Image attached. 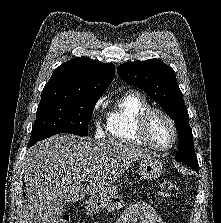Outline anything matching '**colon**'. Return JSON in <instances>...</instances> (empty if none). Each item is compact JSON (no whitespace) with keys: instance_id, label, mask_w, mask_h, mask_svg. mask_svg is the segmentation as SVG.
<instances>
[{"instance_id":"5ec220e1","label":"colon","mask_w":221,"mask_h":223,"mask_svg":"<svg viewBox=\"0 0 221 223\" xmlns=\"http://www.w3.org/2000/svg\"><path fill=\"white\" fill-rule=\"evenodd\" d=\"M158 193L164 199H171L178 195V187L174 182L164 179L159 185ZM55 223H69V218L67 216H61Z\"/></svg>"}]
</instances>
